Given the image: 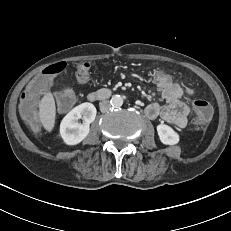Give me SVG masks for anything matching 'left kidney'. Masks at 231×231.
<instances>
[{"instance_id": "left-kidney-1", "label": "left kidney", "mask_w": 231, "mask_h": 231, "mask_svg": "<svg viewBox=\"0 0 231 231\" xmlns=\"http://www.w3.org/2000/svg\"><path fill=\"white\" fill-rule=\"evenodd\" d=\"M157 133L160 141L165 145H175L180 140L179 134L166 124H159Z\"/></svg>"}]
</instances>
